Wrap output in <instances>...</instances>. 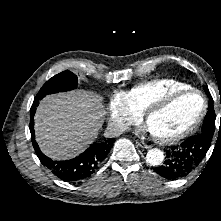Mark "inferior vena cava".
Returning a JSON list of instances; mask_svg holds the SVG:
<instances>
[{
	"mask_svg": "<svg viewBox=\"0 0 221 221\" xmlns=\"http://www.w3.org/2000/svg\"><path fill=\"white\" fill-rule=\"evenodd\" d=\"M124 132L123 127L119 125H110L106 128L105 136L106 137H118Z\"/></svg>",
	"mask_w": 221,
	"mask_h": 221,
	"instance_id": "602c4592",
	"label": "inferior vena cava"
}]
</instances>
